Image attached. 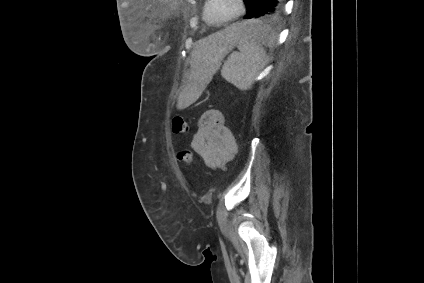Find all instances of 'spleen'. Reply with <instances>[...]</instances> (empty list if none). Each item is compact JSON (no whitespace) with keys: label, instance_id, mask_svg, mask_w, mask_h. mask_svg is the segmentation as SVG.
I'll return each instance as SVG.
<instances>
[{"label":"spleen","instance_id":"spleen-1","mask_svg":"<svg viewBox=\"0 0 424 283\" xmlns=\"http://www.w3.org/2000/svg\"><path fill=\"white\" fill-rule=\"evenodd\" d=\"M243 26L247 30L238 42L239 52H232L229 55L221 69V75L238 89L247 90L253 85L258 71L266 60L267 54L261 47V41L268 36L269 30L259 21L246 22Z\"/></svg>","mask_w":424,"mask_h":283}]
</instances>
